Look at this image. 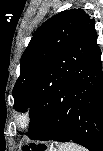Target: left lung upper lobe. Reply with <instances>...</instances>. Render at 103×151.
Wrapping results in <instances>:
<instances>
[{
    "label": "left lung upper lobe",
    "mask_w": 103,
    "mask_h": 151,
    "mask_svg": "<svg viewBox=\"0 0 103 151\" xmlns=\"http://www.w3.org/2000/svg\"><path fill=\"white\" fill-rule=\"evenodd\" d=\"M95 20L82 9L63 11L44 22L33 37L20 60V76L12 94L15 109L25 111L35 79L40 74L56 79L55 62L87 30L93 28Z\"/></svg>",
    "instance_id": "left-lung-upper-lobe-1"
}]
</instances>
